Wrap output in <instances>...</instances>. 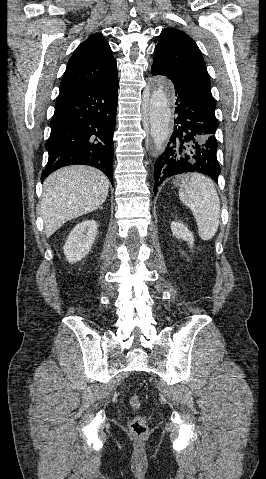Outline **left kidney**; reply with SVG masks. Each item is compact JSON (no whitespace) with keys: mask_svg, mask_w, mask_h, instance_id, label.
Returning <instances> with one entry per match:
<instances>
[{"mask_svg":"<svg viewBox=\"0 0 266 479\" xmlns=\"http://www.w3.org/2000/svg\"><path fill=\"white\" fill-rule=\"evenodd\" d=\"M171 230L176 238L187 241L190 247L193 246L194 236L184 224H182L181 222L173 221L171 223Z\"/></svg>","mask_w":266,"mask_h":479,"instance_id":"5707ae66","label":"left kidney"}]
</instances>
